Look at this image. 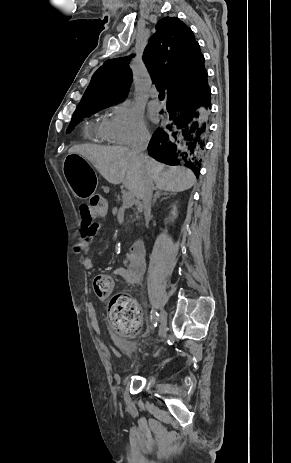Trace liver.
Returning <instances> with one entry per match:
<instances>
[{
	"instance_id": "6515ba94",
	"label": "liver",
	"mask_w": 291,
	"mask_h": 463,
	"mask_svg": "<svg viewBox=\"0 0 291 463\" xmlns=\"http://www.w3.org/2000/svg\"><path fill=\"white\" fill-rule=\"evenodd\" d=\"M68 152L89 160L109 183H123L137 199H141L147 174L157 189L170 192L188 190L196 182L191 170L184 167H166L148 156L147 163H142L127 147L85 144L75 145Z\"/></svg>"
}]
</instances>
